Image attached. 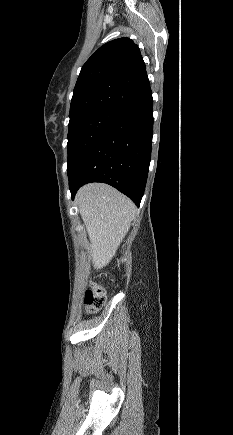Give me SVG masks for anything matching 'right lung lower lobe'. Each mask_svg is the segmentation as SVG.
I'll list each match as a JSON object with an SVG mask.
<instances>
[{
  "mask_svg": "<svg viewBox=\"0 0 233 435\" xmlns=\"http://www.w3.org/2000/svg\"><path fill=\"white\" fill-rule=\"evenodd\" d=\"M151 89L94 143L68 175L71 197L89 182L107 183L137 206L143 197L151 160Z\"/></svg>",
  "mask_w": 233,
  "mask_h": 435,
  "instance_id": "right-lung-lower-lobe-1",
  "label": "right lung lower lobe"
}]
</instances>
